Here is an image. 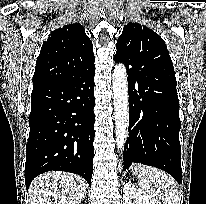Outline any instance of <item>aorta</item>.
Listing matches in <instances>:
<instances>
[{
	"instance_id": "aorta-1",
	"label": "aorta",
	"mask_w": 206,
	"mask_h": 204,
	"mask_svg": "<svg viewBox=\"0 0 206 204\" xmlns=\"http://www.w3.org/2000/svg\"><path fill=\"white\" fill-rule=\"evenodd\" d=\"M115 138L119 154H123L129 125L127 70L119 63L113 71Z\"/></svg>"
}]
</instances>
